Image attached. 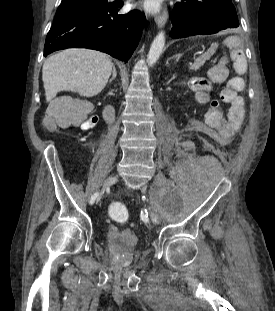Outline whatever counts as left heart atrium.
<instances>
[{
	"label": "left heart atrium",
	"instance_id": "39dd6f15",
	"mask_svg": "<svg viewBox=\"0 0 275 311\" xmlns=\"http://www.w3.org/2000/svg\"><path fill=\"white\" fill-rule=\"evenodd\" d=\"M160 0H145L144 7L149 11H156Z\"/></svg>",
	"mask_w": 275,
	"mask_h": 311
}]
</instances>
